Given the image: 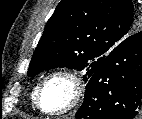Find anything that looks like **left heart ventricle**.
I'll list each match as a JSON object with an SVG mask.
<instances>
[{"label": "left heart ventricle", "mask_w": 142, "mask_h": 119, "mask_svg": "<svg viewBox=\"0 0 142 119\" xmlns=\"http://www.w3.org/2000/svg\"><path fill=\"white\" fill-rule=\"evenodd\" d=\"M71 85L62 78L50 81L44 89L42 106L49 110H57L64 107L71 97Z\"/></svg>", "instance_id": "obj_1"}]
</instances>
